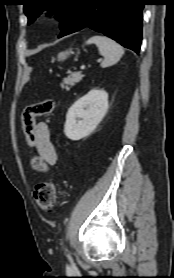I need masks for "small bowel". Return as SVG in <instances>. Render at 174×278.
Wrapping results in <instances>:
<instances>
[{"instance_id":"small-bowel-1","label":"small bowel","mask_w":174,"mask_h":278,"mask_svg":"<svg viewBox=\"0 0 174 278\" xmlns=\"http://www.w3.org/2000/svg\"><path fill=\"white\" fill-rule=\"evenodd\" d=\"M38 138L37 155L32 160V165L39 171H46L49 166L57 162V153L51 141L50 129L45 122L36 124Z\"/></svg>"}]
</instances>
